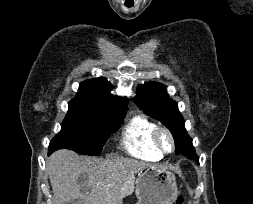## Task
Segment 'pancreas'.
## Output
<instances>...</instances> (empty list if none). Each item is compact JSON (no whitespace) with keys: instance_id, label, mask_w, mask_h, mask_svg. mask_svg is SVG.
Returning <instances> with one entry per match:
<instances>
[{"instance_id":"obj_1","label":"pancreas","mask_w":253,"mask_h":204,"mask_svg":"<svg viewBox=\"0 0 253 204\" xmlns=\"http://www.w3.org/2000/svg\"><path fill=\"white\" fill-rule=\"evenodd\" d=\"M134 191V182L131 178L126 179V182L121 187V193L123 195H130Z\"/></svg>"}]
</instances>
